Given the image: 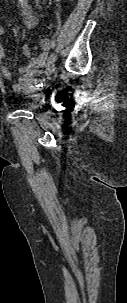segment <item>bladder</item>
I'll return each instance as SVG.
<instances>
[{
    "instance_id": "bladder-1",
    "label": "bladder",
    "mask_w": 127,
    "mask_h": 303,
    "mask_svg": "<svg viewBox=\"0 0 127 303\" xmlns=\"http://www.w3.org/2000/svg\"><path fill=\"white\" fill-rule=\"evenodd\" d=\"M21 106L25 109L35 110L38 107V101L35 98L27 97L21 102Z\"/></svg>"
}]
</instances>
